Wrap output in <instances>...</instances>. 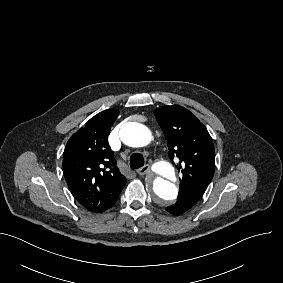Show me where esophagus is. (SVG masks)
I'll return each instance as SVG.
<instances>
[{"instance_id": "esophagus-1", "label": "esophagus", "mask_w": 283, "mask_h": 283, "mask_svg": "<svg viewBox=\"0 0 283 283\" xmlns=\"http://www.w3.org/2000/svg\"><path fill=\"white\" fill-rule=\"evenodd\" d=\"M149 171H150V165L146 164L143 167L139 168L137 170V173L142 176V175L146 174Z\"/></svg>"}]
</instances>
